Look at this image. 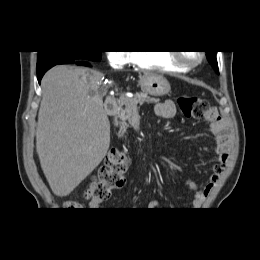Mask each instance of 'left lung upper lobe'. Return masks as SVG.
Returning a JSON list of instances; mask_svg holds the SVG:
<instances>
[{
  "mask_svg": "<svg viewBox=\"0 0 260 260\" xmlns=\"http://www.w3.org/2000/svg\"><path fill=\"white\" fill-rule=\"evenodd\" d=\"M207 52V58L209 63L212 65V67L215 69L216 72H218V65H217V59L215 57L216 51H206Z\"/></svg>",
  "mask_w": 260,
  "mask_h": 260,
  "instance_id": "left-lung-upper-lobe-1",
  "label": "left lung upper lobe"
}]
</instances>
